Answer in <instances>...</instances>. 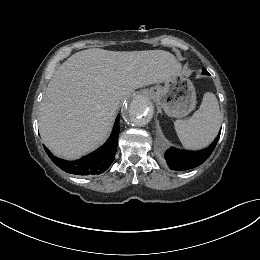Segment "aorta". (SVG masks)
<instances>
[{
	"label": "aorta",
	"instance_id": "obj_1",
	"mask_svg": "<svg viewBox=\"0 0 260 260\" xmlns=\"http://www.w3.org/2000/svg\"><path fill=\"white\" fill-rule=\"evenodd\" d=\"M152 117V106L149 99L139 95L133 98L127 109V120L135 127L147 125Z\"/></svg>",
	"mask_w": 260,
	"mask_h": 260
}]
</instances>
